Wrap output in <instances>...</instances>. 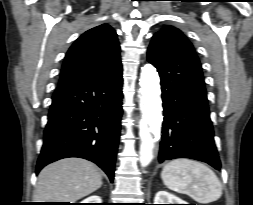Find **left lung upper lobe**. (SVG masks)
Returning <instances> with one entry per match:
<instances>
[{
  "label": "left lung upper lobe",
  "instance_id": "1",
  "mask_svg": "<svg viewBox=\"0 0 253 205\" xmlns=\"http://www.w3.org/2000/svg\"><path fill=\"white\" fill-rule=\"evenodd\" d=\"M155 35H163L174 38L176 41L181 42L193 49V45L189 42V40L184 36V34L177 28L173 26H166L164 29L157 32ZM194 50V49H193Z\"/></svg>",
  "mask_w": 253,
  "mask_h": 205
}]
</instances>
